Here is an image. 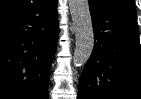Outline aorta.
Wrapping results in <instances>:
<instances>
[{
    "mask_svg": "<svg viewBox=\"0 0 141 99\" xmlns=\"http://www.w3.org/2000/svg\"><path fill=\"white\" fill-rule=\"evenodd\" d=\"M69 9L75 32L76 45L73 66L86 64L94 46V33L88 0H69Z\"/></svg>",
    "mask_w": 141,
    "mask_h": 99,
    "instance_id": "obj_1",
    "label": "aorta"
}]
</instances>
